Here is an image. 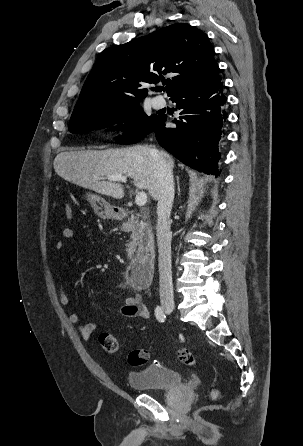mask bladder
Masks as SVG:
<instances>
[{"mask_svg": "<svg viewBox=\"0 0 303 446\" xmlns=\"http://www.w3.org/2000/svg\"><path fill=\"white\" fill-rule=\"evenodd\" d=\"M129 386L136 391H166L175 387H182L184 379L177 370L150 366L143 370L128 374Z\"/></svg>", "mask_w": 303, "mask_h": 446, "instance_id": "1", "label": "bladder"}]
</instances>
